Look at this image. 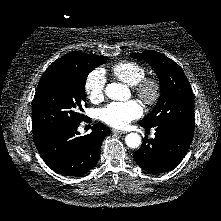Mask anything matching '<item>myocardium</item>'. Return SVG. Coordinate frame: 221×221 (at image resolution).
I'll return each instance as SVG.
<instances>
[{
    "label": "myocardium",
    "mask_w": 221,
    "mask_h": 221,
    "mask_svg": "<svg viewBox=\"0 0 221 221\" xmlns=\"http://www.w3.org/2000/svg\"><path fill=\"white\" fill-rule=\"evenodd\" d=\"M132 87L135 94L146 105H154L160 97V82L154 77H144Z\"/></svg>",
    "instance_id": "myocardium-1"
}]
</instances>
